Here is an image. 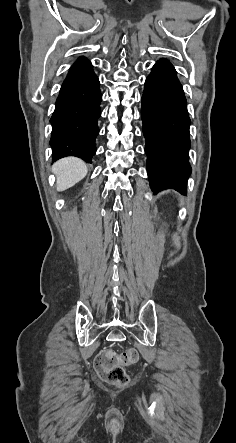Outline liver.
Masks as SVG:
<instances>
[{
	"instance_id": "1",
	"label": "liver",
	"mask_w": 236,
	"mask_h": 443,
	"mask_svg": "<svg viewBox=\"0 0 236 443\" xmlns=\"http://www.w3.org/2000/svg\"><path fill=\"white\" fill-rule=\"evenodd\" d=\"M86 164L79 158H63L52 166V172L56 174L57 191H64L74 186L87 174Z\"/></svg>"
}]
</instances>
